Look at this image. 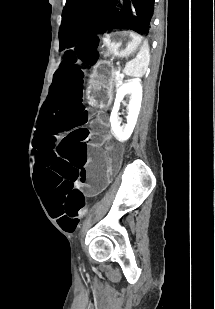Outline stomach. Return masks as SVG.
<instances>
[{"label": "stomach", "instance_id": "1", "mask_svg": "<svg viewBox=\"0 0 215 309\" xmlns=\"http://www.w3.org/2000/svg\"><path fill=\"white\" fill-rule=\"evenodd\" d=\"M143 38L129 30H116L102 38L106 54L112 58H127L142 48ZM115 68L111 61H100L88 81V92L92 99L103 101L108 98L114 83Z\"/></svg>", "mask_w": 215, "mask_h": 309}]
</instances>
